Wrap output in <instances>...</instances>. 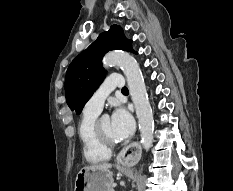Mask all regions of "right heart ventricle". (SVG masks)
<instances>
[{"label":"right heart ventricle","mask_w":233,"mask_h":191,"mask_svg":"<svg viewBox=\"0 0 233 191\" xmlns=\"http://www.w3.org/2000/svg\"><path fill=\"white\" fill-rule=\"evenodd\" d=\"M98 115V113L85 110L78 126L83 155L89 163L104 162L111 155L110 149L102 145L95 135L94 126Z\"/></svg>","instance_id":"e07e8e85"}]
</instances>
